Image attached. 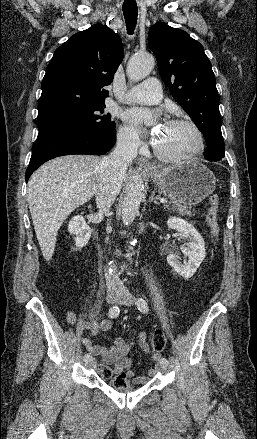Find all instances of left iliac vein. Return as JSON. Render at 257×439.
<instances>
[{"mask_svg":"<svg viewBox=\"0 0 257 439\" xmlns=\"http://www.w3.org/2000/svg\"><path fill=\"white\" fill-rule=\"evenodd\" d=\"M119 303L122 304V305L131 306V305H133L135 303V298L132 296V294L129 291L125 290V291L120 293ZM166 366L167 365H164V364L160 363L157 366V370L163 372V371L166 370Z\"/></svg>","mask_w":257,"mask_h":439,"instance_id":"obj_1","label":"left iliac vein"}]
</instances>
